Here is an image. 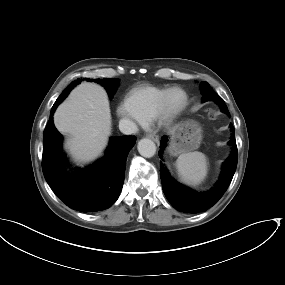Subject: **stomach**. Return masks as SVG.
<instances>
[{
    "mask_svg": "<svg viewBox=\"0 0 285 285\" xmlns=\"http://www.w3.org/2000/svg\"><path fill=\"white\" fill-rule=\"evenodd\" d=\"M202 140L200 125L192 120L177 124L171 130L169 153L177 156L197 149Z\"/></svg>",
    "mask_w": 285,
    "mask_h": 285,
    "instance_id": "1",
    "label": "stomach"
}]
</instances>
